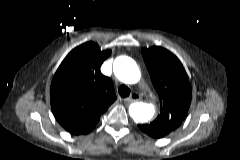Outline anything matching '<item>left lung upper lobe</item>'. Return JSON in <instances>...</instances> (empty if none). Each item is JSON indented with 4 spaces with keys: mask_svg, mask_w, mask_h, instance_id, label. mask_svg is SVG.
Masks as SVG:
<instances>
[{
    "mask_svg": "<svg viewBox=\"0 0 240 160\" xmlns=\"http://www.w3.org/2000/svg\"><path fill=\"white\" fill-rule=\"evenodd\" d=\"M142 55L160 98V114L149 125L169 134L188 113L192 98L189 78L178 58L162 47L143 48Z\"/></svg>",
    "mask_w": 240,
    "mask_h": 160,
    "instance_id": "1",
    "label": "left lung upper lobe"
}]
</instances>
